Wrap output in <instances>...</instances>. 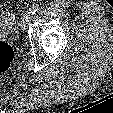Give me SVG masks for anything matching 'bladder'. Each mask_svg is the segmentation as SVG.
I'll return each instance as SVG.
<instances>
[{
    "mask_svg": "<svg viewBox=\"0 0 113 113\" xmlns=\"http://www.w3.org/2000/svg\"><path fill=\"white\" fill-rule=\"evenodd\" d=\"M13 28V21L0 14V37H5L10 34Z\"/></svg>",
    "mask_w": 113,
    "mask_h": 113,
    "instance_id": "obj_1",
    "label": "bladder"
}]
</instances>
